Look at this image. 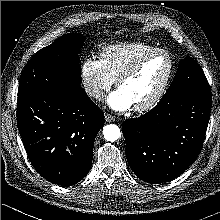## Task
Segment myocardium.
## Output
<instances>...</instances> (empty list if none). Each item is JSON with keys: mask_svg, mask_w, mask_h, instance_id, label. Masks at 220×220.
Masks as SVG:
<instances>
[{"mask_svg": "<svg viewBox=\"0 0 220 220\" xmlns=\"http://www.w3.org/2000/svg\"><path fill=\"white\" fill-rule=\"evenodd\" d=\"M156 54H163L169 59V70L168 73L164 79L163 84L159 88V90L154 94L152 98L149 100L134 106V110L137 112H143L150 110L154 108L156 105H158L163 97L165 96L171 81L174 76L175 72V61L172 55L165 49L162 48H155L152 49L144 54H142L139 58H137L126 70H124L117 78H116V85L119 87V85L127 80L128 78L134 76L141 68L142 64L150 57L156 55Z\"/></svg>", "mask_w": 220, "mask_h": 220, "instance_id": "myocardium-1", "label": "myocardium"}]
</instances>
